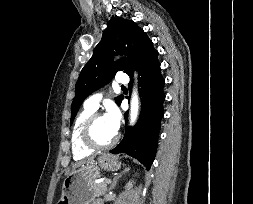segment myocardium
Segmentation results:
<instances>
[{
    "mask_svg": "<svg viewBox=\"0 0 253 204\" xmlns=\"http://www.w3.org/2000/svg\"><path fill=\"white\" fill-rule=\"evenodd\" d=\"M100 112H94L85 122L82 129V141L88 148L92 150H107L113 147L119 140V134L116 132L115 136L106 144L98 143L93 137V128L98 118L102 117Z\"/></svg>",
    "mask_w": 253,
    "mask_h": 204,
    "instance_id": "f54148a6",
    "label": "myocardium"
}]
</instances>
